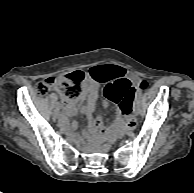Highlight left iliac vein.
I'll list each match as a JSON object with an SVG mask.
<instances>
[{
  "instance_id": "left-iliac-vein-1",
  "label": "left iliac vein",
  "mask_w": 194,
  "mask_h": 193,
  "mask_svg": "<svg viewBox=\"0 0 194 193\" xmlns=\"http://www.w3.org/2000/svg\"><path fill=\"white\" fill-rule=\"evenodd\" d=\"M134 113H135L136 115H139V114H140V107H139L137 104L135 105Z\"/></svg>"
}]
</instances>
